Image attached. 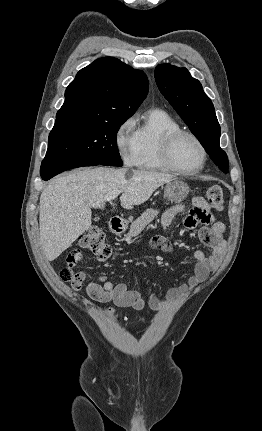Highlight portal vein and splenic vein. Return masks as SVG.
<instances>
[{
  "label": "portal vein and splenic vein",
  "mask_w": 262,
  "mask_h": 431,
  "mask_svg": "<svg viewBox=\"0 0 262 431\" xmlns=\"http://www.w3.org/2000/svg\"><path fill=\"white\" fill-rule=\"evenodd\" d=\"M120 193H121V191L115 190V191L111 192L110 194H108L105 197V200L110 202V201L114 200Z\"/></svg>",
  "instance_id": "18ae733b"
}]
</instances>
